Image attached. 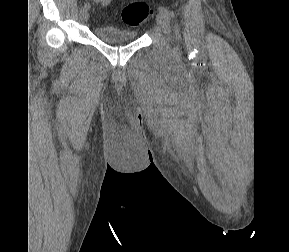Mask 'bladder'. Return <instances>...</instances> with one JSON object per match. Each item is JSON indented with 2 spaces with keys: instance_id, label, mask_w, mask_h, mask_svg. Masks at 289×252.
I'll return each instance as SVG.
<instances>
[{
  "instance_id": "bladder-1",
  "label": "bladder",
  "mask_w": 289,
  "mask_h": 252,
  "mask_svg": "<svg viewBox=\"0 0 289 252\" xmlns=\"http://www.w3.org/2000/svg\"><path fill=\"white\" fill-rule=\"evenodd\" d=\"M94 35L103 42L110 44L126 43L137 39L135 30L121 29L111 25L97 26Z\"/></svg>"
}]
</instances>
